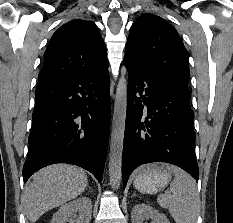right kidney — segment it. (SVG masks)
Here are the masks:
<instances>
[{
  "mask_svg": "<svg viewBox=\"0 0 233 223\" xmlns=\"http://www.w3.org/2000/svg\"><path fill=\"white\" fill-rule=\"evenodd\" d=\"M76 215V223H89L92 213V201L89 197H77L61 205L59 211L54 213L51 223H66L70 215Z\"/></svg>",
  "mask_w": 233,
  "mask_h": 223,
  "instance_id": "right-kidney-1",
  "label": "right kidney"
}]
</instances>
